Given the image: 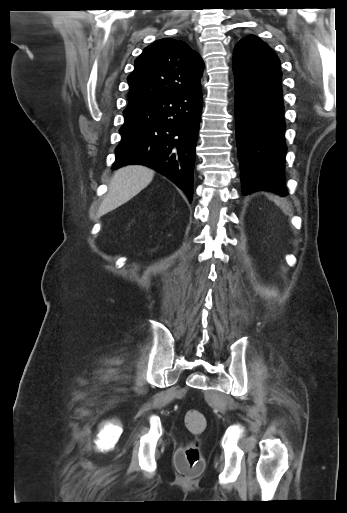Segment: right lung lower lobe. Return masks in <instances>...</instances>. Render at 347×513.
<instances>
[{"label": "right lung lower lobe", "mask_w": 347, "mask_h": 513, "mask_svg": "<svg viewBox=\"0 0 347 513\" xmlns=\"http://www.w3.org/2000/svg\"><path fill=\"white\" fill-rule=\"evenodd\" d=\"M201 111V90L127 107L113 169L149 166L173 181L191 202Z\"/></svg>", "instance_id": "1"}]
</instances>
